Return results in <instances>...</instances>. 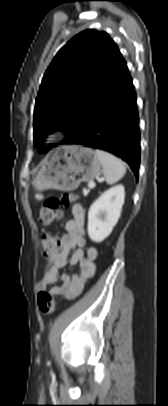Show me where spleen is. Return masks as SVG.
I'll return each instance as SVG.
<instances>
[{
    "label": "spleen",
    "instance_id": "3e777b00",
    "mask_svg": "<svg viewBox=\"0 0 168 406\" xmlns=\"http://www.w3.org/2000/svg\"><path fill=\"white\" fill-rule=\"evenodd\" d=\"M103 168V174L108 184H114L125 174L124 163L114 155L97 149L95 151Z\"/></svg>",
    "mask_w": 168,
    "mask_h": 406
}]
</instances>
